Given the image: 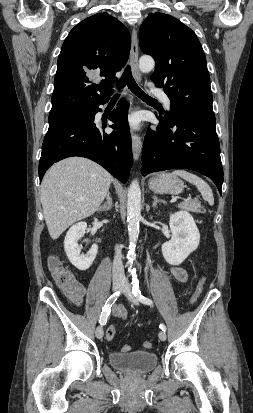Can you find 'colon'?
<instances>
[{
	"instance_id": "obj_1",
	"label": "colon",
	"mask_w": 253,
	"mask_h": 413,
	"mask_svg": "<svg viewBox=\"0 0 253 413\" xmlns=\"http://www.w3.org/2000/svg\"><path fill=\"white\" fill-rule=\"evenodd\" d=\"M48 267H49V270L51 272V275H52L53 279L61 287L70 284L75 279L73 273L69 269H67L62 264L61 260L56 256H51L49 258ZM204 284H205V277L202 276L200 278V281H199L198 285H197L196 291H195L194 295L192 296V298L190 300L191 304L195 303L198 300L199 296L202 293ZM115 334H116L115 326L110 325L107 328V331H106V338L108 340H112L114 338ZM143 346L146 349H150V348H152V343L150 341H145L143 343ZM129 350H130L129 345H124L122 347L123 352H127Z\"/></svg>"
}]
</instances>
